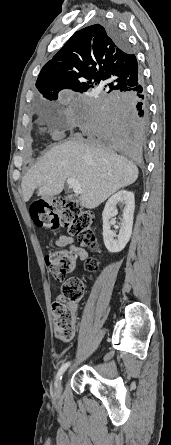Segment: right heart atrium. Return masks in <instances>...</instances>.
Returning <instances> with one entry per match:
<instances>
[{"label":"right heart atrium","mask_w":171,"mask_h":445,"mask_svg":"<svg viewBox=\"0 0 171 445\" xmlns=\"http://www.w3.org/2000/svg\"><path fill=\"white\" fill-rule=\"evenodd\" d=\"M62 132H63L62 129H59V130H58V134H61Z\"/></svg>","instance_id":"obj_1"}]
</instances>
